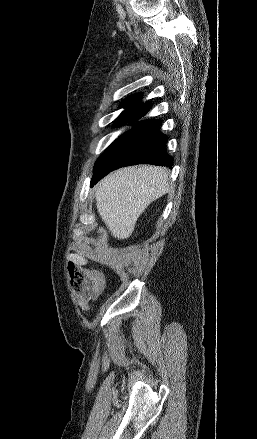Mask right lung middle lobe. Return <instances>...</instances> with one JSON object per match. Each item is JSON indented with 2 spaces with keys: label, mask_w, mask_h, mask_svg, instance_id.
I'll list each match as a JSON object with an SVG mask.
<instances>
[{
  "label": "right lung middle lobe",
  "mask_w": 257,
  "mask_h": 439,
  "mask_svg": "<svg viewBox=\"0 0 257 439\" xmlns=\"http://www.w3.org/2000/svg\"><path fill=\"white\" fill-rule=\"evenodd\" d=\"M126 122H127V121H125V120H119V121L115 122V126H116V127L122 126V125H124Z\"/></svg>",
  "instance_id": "1"
}]
</instances>
